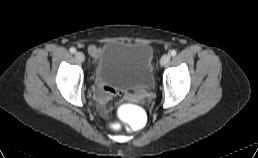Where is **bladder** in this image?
<instances>
[{"label":"bladder","mask_w":258,"mask_h":158,"mask_svg":"<svg viewBox=\"0 0 258 158\" xmlns=\"http://www.w3.org/2000/svg\"><path fill=\"white\" fill-rule=\"evenodd\" d=\"M95 79L105 87L149 91L155 83L153 48L144 42L111 41L103 45Z\"/></svg>","instance_id":"obj_1"}]
</instances>
